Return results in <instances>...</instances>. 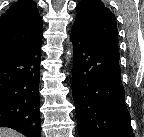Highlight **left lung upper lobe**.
Here are the masks:
<instances>
[{
    "instance_id": "5c2ea615",
    "label": "left lung upper lobe",
    "mask_w": 144,
    "mask_h": 137,
    "mask_svg": "<svg viewBox=\"0 0 144 137\" xmlns=\"http://www.w3.org/2000/svg\"><path fill=\"white\" fill-rule=\"evenodd\" d=\"M73 29L89 40L118 52L117 25L112 12L100 0H82L77 5Z\"/></svg>"
}]
</instances>
